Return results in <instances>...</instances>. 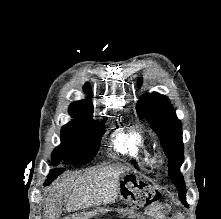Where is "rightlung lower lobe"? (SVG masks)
Listing matches in <instances>:
<instances>
[{
	"mask_svg": "<svg viewBox=\"0 0 221 219\" xmlns=\"http://www.w3.org/2000/svg\"><path fill=\"white\" fill-rule=\"evenodd\" d=\"M64 169H54L50 172L49 178L46 180L44 185H49L54 179H56L57 176H59Z\"/></svg>",
	"mask_w": 221,
	"mask_h": 219,
	"instance_id": "right-lung-lower-lobe-1",
	"label": "right lung lower lobe"
}]
</instances>
